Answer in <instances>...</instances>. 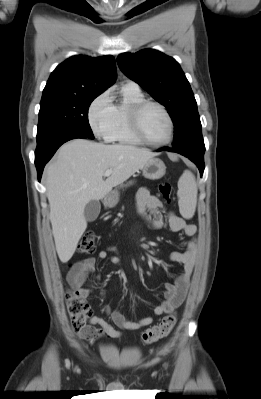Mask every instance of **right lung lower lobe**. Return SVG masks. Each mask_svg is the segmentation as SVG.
<instances>
[{
	"label": "right lung lower lobe",
	"mask_w": 261,
	"mask_h": 399,
	"mask_svg": "<svg viewBox=\"0 0 261 399\" xmlns=\"http://www.w3.org/2000/svg\"><path fill=\"white\" fill-rule=\"evenodd\" d=\"M76 138H91L94 136L86 135L73 129H59L37 139V148L35 151V165L40 181L43 168L51 159L57 149L65 142Z\"/></svg>",
	"instance_id": "right-lung-lower-lobe-1"
}]
</instances>
